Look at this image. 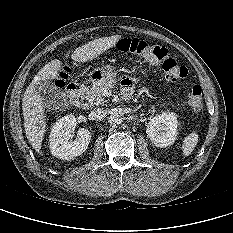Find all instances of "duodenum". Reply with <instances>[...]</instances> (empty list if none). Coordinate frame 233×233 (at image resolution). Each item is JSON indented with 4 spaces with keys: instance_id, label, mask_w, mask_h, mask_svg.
Instances as JSON below:
<instances>
[{
    "instance_id": "obj_1",
    "label": "duodenum",
    "mask_w": 233,
    "mask_h": 233,
    "mask_svg": "<svg viewBox=\"0 0 233 233\" xmlns=\"http://www.w3.org/2000/svg\"><path fill=\"white\" fill-rule=\"evenodd\" d=\"M83 89V84L82 83H70L67 86V96L71 102H77L81 92Z\"/></svg>"
}]
</instances>
